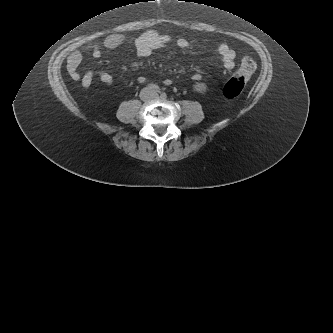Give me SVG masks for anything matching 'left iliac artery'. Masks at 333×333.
Returning <instances> with one entry per match:
<instances>
[{
  "mask_svg": "<svg viewBox=\"0 0 333 333\" xmlns=\"http://www.w3.org/2000/svg\"><path fill=\"white\" fill-rule=\"evenodd\" d=\"M161 97H162V98H166V93H165V92H162V93H161Z\"/></svg>",
  "mask_w": 333,
  "mask_h": 333,
  "instance_id": "44dca946",
  "label": "left iliac artery"
}]
</instances>
